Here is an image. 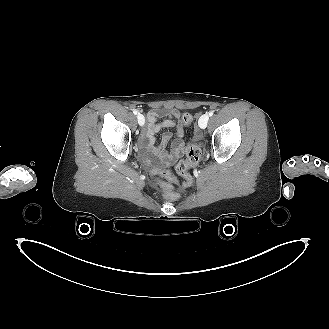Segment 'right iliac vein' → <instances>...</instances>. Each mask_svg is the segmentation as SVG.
<instances>
[{"mask_svg": "<svg viewBox=\"0 0 329 329\" xmlns=\"http://www.w3.org/2000/svg\"><path fill=\"white\" fill-rule=\"evenodd\" d=\"M137 121H138V124H139L140 126H143L144 123H145V118H144V116H143L142 114H138V115H137Z\"/></svg>", "mask_w": 329, "mask_h": 329, "instance_id": "right-iliac-vein-1", "label": "right iliac vein"}]
</instances>
